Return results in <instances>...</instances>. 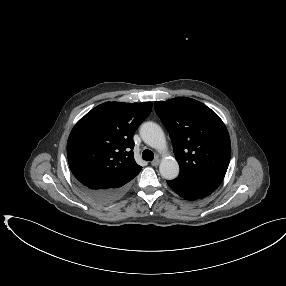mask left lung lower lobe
Returning a JSON list of instances; mask_svg holds the SVG:
<instances>
[{
	"instance_id": "0a47b994",
	"label": "left lung lower lobe",
	"mask_w": 286,
	"mask_h": 286,
	"mask_svg": "<svg viewBox=\"0 0 286 286\" xmlns=\"http://www.w3.org/2000/svg\"><path fill=\"white\" fill-rule=\"evenodd\" d=\"M168 185L178 195L187 200H197L210 195L216 188L189 181L182 177H177L174 180L167 181Z\"/></svg>"
}]
</instances>
